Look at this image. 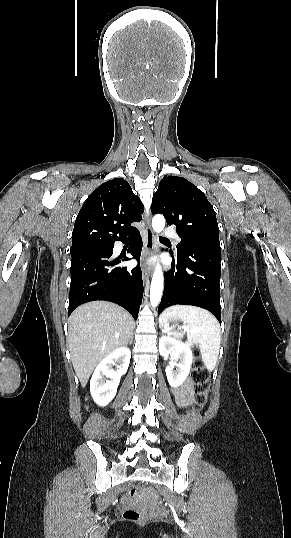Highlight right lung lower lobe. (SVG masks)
<instances>
[{
	"instance_id": "98d812e1",
	"label": "right lung lower lobe",
	"mask_w": 291,
	"mask_h": 538,
	"mask_svg": "<svg viewBox=\"0 0 291 538\" xmlns=\"http://www.w3.org/2000/svg\"><path fill=\"white\" fill-rule=\"evenodd\" d=\"M130 236L129 253L139 261L142 249L140 233L137 230ZM126 239L120 241L125 242ZM113 247L72 257L68 315L86 302L106 300L122 306L137 319L143 297L141 268L139 264L132 270L117 267L121 260L120 257H112Z\"/></svg>"
}]
</instances>
